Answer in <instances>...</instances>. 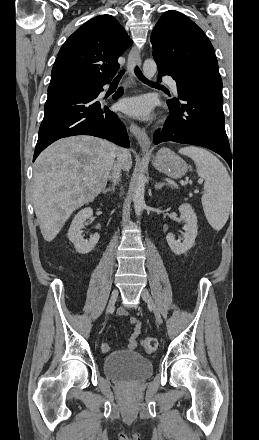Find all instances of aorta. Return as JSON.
<instances>
[{"mask_svg":"<svg viewBox=\"0 0 259 440\" xmlns=\"http://www.w3.org/2000/svg\"><path fill=\"white\" fill-rule=\"evenodd\" d=\"M156 70H157V65L153 59L145 60L143 64V72L148 80H151L154 77ZM145 183H146L145 175L143 173H139L136 178V186L133 194L134 210L137 216L141 215L145 207V201H144Z\"/></svg>","mask_w":259,"mask_h":440,"instance_id":"762f6f07","label":"aorta"}]
</instances>
